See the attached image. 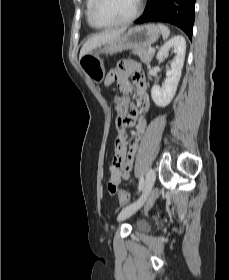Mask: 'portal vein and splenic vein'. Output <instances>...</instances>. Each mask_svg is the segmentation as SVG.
Listing matches in <instances>:
<instances>
[{
    "label": "portal vein and splenic vein",
    "mask_w": 229,
    "mask_h": 280,
    "mask_svg": "<svg viewBox=\"0 0 229 280\" xmlns=\"http://www.w3.org/2000/svg\"><path fill=\"white\" fill-rule=\"evenodd\" d=\"M149 51H150L151 53H155V49H153V48H150Z\"/></svg>",
    "instance_id": "portal-vein-and-splenic-vein-1"
}]
</instances>
